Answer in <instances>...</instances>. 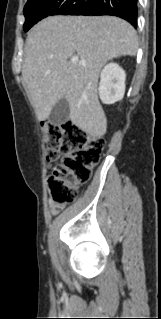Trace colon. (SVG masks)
Listing matches in <instances>:
<instances>
[{
	"label": "colon",
	"mask_w": 161,
	"mask_h": 319,
	"mask_svg": "<svg viewBox=\"0 0 161 319\" xmlns=\"http://www.w3.org/2000/svg\"><path fill=\"white\" fill-rule=\"evenodd\" d=\"M44 137L48 161L63 155L62 162L49 176L51 195L60 210L76 199L80 186L90 179L105 142L72 123H48L44 126Z\"/></svg>",
	"instance_id": "obj_1"
}]
</instances>
